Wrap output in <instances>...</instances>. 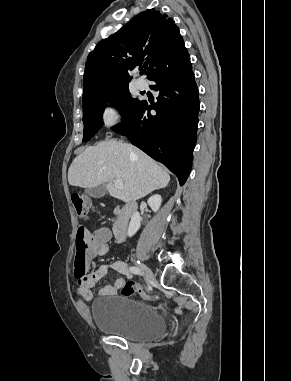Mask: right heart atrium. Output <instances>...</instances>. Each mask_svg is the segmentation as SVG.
I'll list each match as a JSON object with an SVG mask.
<instances>
[{"label":"right heart atrium","mask_w":291,"mask_h":381,"mask_svg":"<svg viewBox=\"0 0 291 381\" xmlns=\"http://www.w3.org/2000/svg\"><path fill=\"white\" fill-rule=\"evenodd\" d=\"M123 116L124 115L121 105L118 103H110L103 110L102 121L105 126L111 127L121 122Z\"/></svg>","instance_id":"d8ad5b80"}]
</instances>
